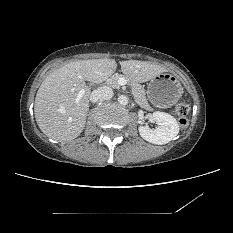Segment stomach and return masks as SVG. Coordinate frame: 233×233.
Listing matches in <instances>:
<instances>
[{
  "instance_id": "obj_1",
  "label": "stomach",
  "mask_w": 233,
  "mask_h": 233,
  "mask_svg": "<svg viewBox=\"0 0 233 233\" xmlns=\"http://www.w3.org/2000/svg\"><path fill=\"white\" fill-rule=\"evenodd\" d=\"M182 90L180 82L174 75L160 73L150 80L147 95L153 105L166 108L180 99Z\"/></svg>"
}]
</instances>
